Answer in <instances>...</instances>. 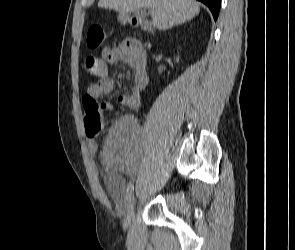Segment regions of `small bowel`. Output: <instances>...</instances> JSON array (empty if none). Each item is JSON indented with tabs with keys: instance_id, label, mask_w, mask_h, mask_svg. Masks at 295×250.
Instances as JSON below:
<instances>
[{
	"instance_id": "c3829d8e",
	"label": "small bowel",
	"mask_w": 295,
	"mask_h": 250,
	"mask_svg": "<svg viewBox=\"0 0 295 250\" xmlns=\"http://www.w3.org/2000/svg\"><path fill=\"white\" fill-rule=\"evenodd\" d=\"M117 62H125L134 70V83L129 94L120 95L117 99L121 106L138 108L141 103V93L148 84L147 63L141 43L134 39L123 41L115 47H106L100 59L98 81L89 85L86 95L96 99L113 91L114 78L109 75L108 66ZM105 112L112 109L109 103L102 104ZM140 129L130 116L121 117L111 127L104 144L106 164L105 182L108 189L121 197L126 190V183L119 174L120 170H131L132 163L137 160L140 152ZM91 153H96L97 144L93 139L88 140Z\"/></svg>"
}]
</instances>
